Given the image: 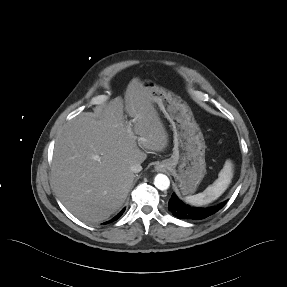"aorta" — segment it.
I'll list each match as a JSON object with an SVG mask.
<instances>
[{"label":"aorta","instance_id":"obj_1","mask_svg":"<svg viewBox=\"0 0 287 287\" xmlns=\"http://www.w3.org/2000/svg\"><path fill=\"white\" fill-rule=\"evenodd\" d=\"M154 185L159 190H167L170 186L169 178L164 174H157L154 178Z\"/></svg>","mask_w":287,"mask_h":287}]
</instances>
